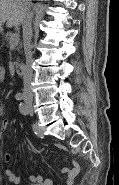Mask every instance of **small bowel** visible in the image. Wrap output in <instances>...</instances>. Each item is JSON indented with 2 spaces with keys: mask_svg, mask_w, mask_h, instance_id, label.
Instances as JSON below:
<instances>
[{
  "mask_svg": "<svg viewBox=\"0 0 119 185\" xmlns=\"http://www.w3.org/2000/svg\"><path fill=\"white\" fill-rule=\"evenodd\" d=\"M6 76V71L4 68H0V81H3ZM3 105L0 104V112L3 113ZM9 122L7 120L2 121L1 125V131L2 133H5L8 130ZM60 148H63V146L59 145ZM3 159L5 162L9 163L12 160V155L10 153H5L3 156ZM80 167L77 162H73L71 167H64L62 169V173L66 175V184L72 185L75 178L79 174ZM5 176L7 179L15 184L20 183L21 177L16 175L11 169H6L4 171ZM30 181L34 183H41L42 185H54V182L49 178H44L42 175H31L29 177Z\"/></svg>",
  "mask_w": 119,
  "mask_h": 185,
  "instance_id": "1",
  "label": "small bowel"
}]
</instances>
